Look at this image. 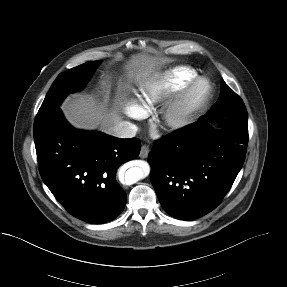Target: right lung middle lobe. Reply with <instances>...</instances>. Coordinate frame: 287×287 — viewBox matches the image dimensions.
<instances>
[{
	"label": "right lung middle lobe",
	"mask_w": 287,
	"mask_h": 287,
	"mask_svg": "<svg viewBox=\"0 0 287 287\" xmlns=\"http://www.w3.org/2000/svg\"><path fill=\"white\" fill-rule=\"evenodd\" d=\"M99 62L90 61L59 74L50 87L37 115L55 109L68 93L82 89Z\"/></svg>",
	"instance_id": "obj_1"
}]
</instances>
